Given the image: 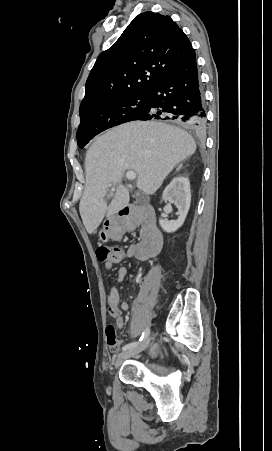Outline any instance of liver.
Segmentation results:
<instances>
[{"instance_id":"liver-1","label":"liver","mask_w":272,"mask_h":451,"mask_svg":"<svg viewBox=\"0 0 272 451\" xmlns=\"http://www.w3.org/2000/svg\"><path fill=\"white\" fill-rule=\"evenodd\" d=\"M196 152L192 136L163 122H128L96 138L85 158L86 184L79 204L82 222L94 233L103 218L129 204V190L121 184L126 170L137 174L136 186L154 194L173 168ZM110 186H118L111 204L104 198Z\"/></svg>"}]
</instances>
